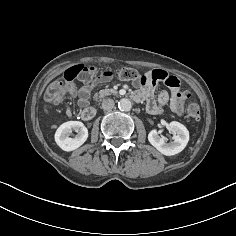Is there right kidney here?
Masks as SVG:
<instances>
[{"instance_id": "1", "label": "right kidney", "mask_w": 236, "mask_h": 236, "mask_svg": "<svg viewBox=\"0 0 236 236\" xmlns=\"http://www.w3.org/2000/svg\"><path fill=\"white\" fill-rule=\"evenodd\" d=\"M72 132L77 135L69 137ZM88 138V130L80 121H68L60 125L55 133L57 145L64 151H73L79 148Z\"/></svg>"}]
</instances>
